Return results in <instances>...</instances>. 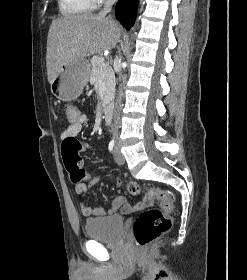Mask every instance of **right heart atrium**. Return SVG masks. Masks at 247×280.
Segmentation results:
<instances>
[{"label": "right heart atrium", "mask_w": 247, "mask_h": 280, "mask_svg": "<svg viewBox=\"0 0 247 280\" xmlns=\"http://www.w3.org/2000/svg\"><path fill=\"white\" fill-rule=\"evenodd\" d=\"M95 2H100L101 0H94Z\"/></svg>", "instance_id": "1"}]
</instances>
